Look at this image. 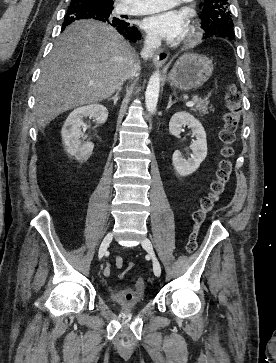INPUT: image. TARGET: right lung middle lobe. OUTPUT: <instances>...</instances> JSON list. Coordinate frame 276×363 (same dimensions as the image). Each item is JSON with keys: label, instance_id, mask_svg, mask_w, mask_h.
Instances as JSON below:
<instances>
[{"label": "right lung middle lobe", "instance_id": "dd1d6c3e", "mask_svg": "<svg viewBox=\"0 0 276 363\" xmlns=\"http://www.w3.org/2000/svg\"><path fill=\"white\" fill-rule=\"evenodd\" d=\"M77 7H90L96 10L101 17L108 19L112 13L113 6L95 0H72L69 9Z\"/></svg>", "mask_w": 276, "mask_h": 363}]
</instances>
